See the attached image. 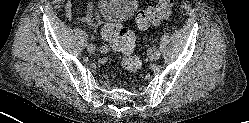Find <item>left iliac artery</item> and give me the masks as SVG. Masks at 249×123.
<instances>
[{
	"label": "left iliac artery",
	"instance_id": "left-iliac-artery-1",
	"mask_svg": "<svg viewBox=\"0 0 249 123\" xmlns=\"http://www.w3.org/2000/svg\"><path fill=\"white\" fill-rule=\"evenodd\" d=\"M156 59H159L160 58V56H161V53H160V51H158V50H156Z\"/></svg>",
	"mask_w": 249,
	"mask_h": 123
}]
</instances>
